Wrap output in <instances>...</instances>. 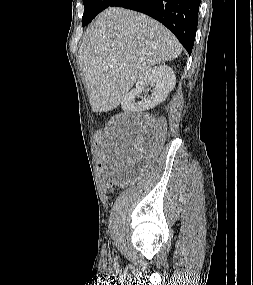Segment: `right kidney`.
Instances as JSON below:
<instances>
[{"label": "right kidney", "mask_w": 253, "mask_h": 285, "mask_svg": "<svg viewBox=\"0 0 253 285\" xmlns=\"http://www.w3.org/2000/svg\"><path fill=\"white\" fill-rule=\"evenodd\" d=\"M176 84V77L171 67L165 64L146 70L138 79L136 87L127 93L121 103L122 108L129 112H141L152 109L162 103ZM147 85L152 87V94L140 102L135 96Z\"/></svg>", "instance_id": "ca27d5eb"}]
</instances>
